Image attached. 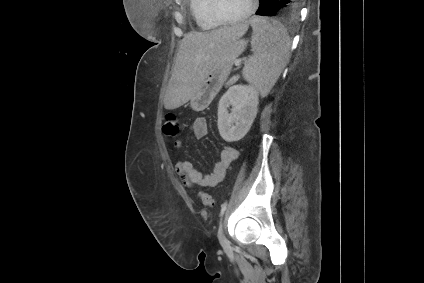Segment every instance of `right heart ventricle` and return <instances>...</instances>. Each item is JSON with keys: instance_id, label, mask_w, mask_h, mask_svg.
<instances>
[{"instance_id": "1", "label": "right heart ventricle", "mask_w": 424, "mask_h": 283, "mask_svg": "<svg viewBox=\"0 0 424 283\" xmlns=\"http://www.w3.org/2000/svg\"><path fill=\"white\" fill-rule=\"evenodd\" d=\"M207 5L208 0H189L191 15L196 25L202 30H213L220 24L210 18Z\"/></svg>"}]
</instances>
